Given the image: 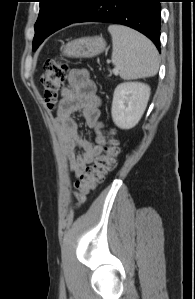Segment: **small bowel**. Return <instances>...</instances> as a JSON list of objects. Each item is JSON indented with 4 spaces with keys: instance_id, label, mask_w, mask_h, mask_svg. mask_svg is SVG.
<instances>
[{
    "instance_id": "1",
    "label": "small bowel",
    "mask_w": 195,
    "mask_h": 299,
    "mask_svg": "<svg viewBox=\"0 0 195 299\" xmlns=\"http://www.w3.org/2000/svg\"><path fill=\"white\" fill-rule=\"evenodd\" d=\"M76 113H80L86 126L94 131L95 141L86 139L81 134L74 118ZM100 114L95 83L85 70H71L59 104L55 126L62 153L75 177H80L102 152L105 138L101 132Z\"/></svg>"
}]
</instances>
